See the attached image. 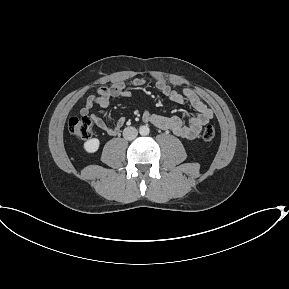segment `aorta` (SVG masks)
Here are the masks:
<instances>
[{"mask_svg": "<svg viewBox=\"0 0 289 289\" xmlns=\"http://www.w3.org/2000/svg\"><path fill=\"white\" fill-rule=\"evenodd\" d=\"M149 132H150V129H149V127L146 126V125L141 126V127L139 128V133H140V135H142V136L148 135Z\"/></svg>", "mask_w": 289, "mask_h": 289, "instance_id": "obj_1", "label": "aorta"}]
</instances>
